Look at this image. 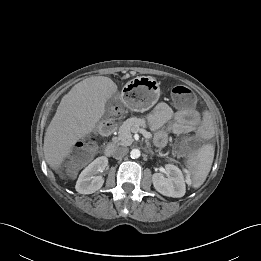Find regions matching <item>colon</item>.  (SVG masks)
<instances>
[{"mask_svg":"<svg viewBox=\"0 0 261 261\" xmlns=\"http://www.w3.org/2000/svg\"><path fill=\"white\" fill-rule=\"evenodd\" d=\"M172 96L175 102L182 107H191L194 105L196 96L194 92L187 86L177 85L171 90ZM119 115L120 111L116 110ZM176 149L180 152H189L193 147L194 143L186 138H179L176 140ZM94 150V144L90 141L83 143L78 148L74 149L71 153L70 163L77 165L87 161Z\"/></svg>","mask_w":261,"mask_h":261,"instance_id":"obj_1","label":"colon"}]
</instances>
